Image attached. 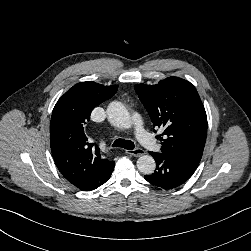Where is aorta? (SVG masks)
<instances>
[{"label":"aorta","mask_w":251,"mask_h":251,"mask_svg":"<svg viewBox=\"0 0 251 251\" xmlns=\"http://www.w3.org/2000/svg\"><path fill=\"white\" fill-rule=\"evenodd\" d=\"M108 121L119 128H129L131 126V118L127 108L119 101L111 102L107 107ZM138 170L146 175H150L156 168V162L150 155H143L137 160Z\"/></svg>","instance_id":"1"}]
</instances>
